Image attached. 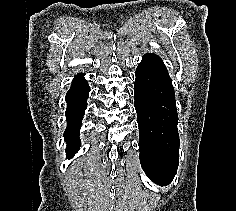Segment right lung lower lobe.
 Listing matches in <instances>:
<instances>
[{
	"label": "right lung lower lobe",
	"instance_id": "98d812e1",
	"mask_svg": "<svg viewBox=\"0 0 236 211\" xmlns=\"http://www.w3.org/2000/svg\"><path fill=\"white\" fill-rule=\"evenodd\" d=\"M89 91L90 88L87 81L84 79V75L79 74L73 79L72 86L66 94V102L68 106L65 115L68 125L64 136L65 141L68 143L66 151L68 152L69 158L75 154V151L81 144L78 138L79 129L86 109V101Z\"/></svg>",
	"mask_w": 236,
	"mask_h": 211
}]
</instances>
